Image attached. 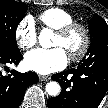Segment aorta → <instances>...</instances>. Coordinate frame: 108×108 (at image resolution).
I'll return each mask as SVG.
<instances>
[{"label":"aorta","mask_w":108,"mask_h":108,"mask_svg":"<svg viewBox=\"0 0 108 108\" xmlns=\"http://www.w3.org/2000/svg\"><path fill=\"white\" fill-rule=\"evenodd\" d=\"M53 37V31L51 29H43L38 36V40L40 45L43 48H49L51 47V39ZM61 87L60 85L53 81L49 82L46 85V92L51 96H56L60 93Z\"/></svg>","instance_id":"obj_1"}]
</instances>
